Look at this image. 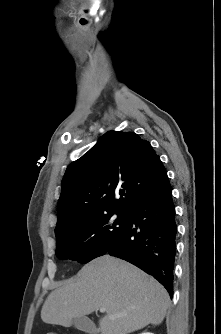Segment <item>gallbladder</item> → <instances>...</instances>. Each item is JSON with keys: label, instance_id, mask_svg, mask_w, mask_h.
<instances>
[{"label": "gallbladder", "instance_id": "1", "mask_svg": "<svg viewBox=\"0 0 221 334\" xmlns=\"http://www.w3.org/2000/svg\"><path fill=\"white\" fill-rule=\"evenodd\" d=\"M72 325L83 332L97 334V329L95 324L86 316L74 318Z\"/></svg>", "mask_w": 221, "mask_h": 334}]
</instances>
